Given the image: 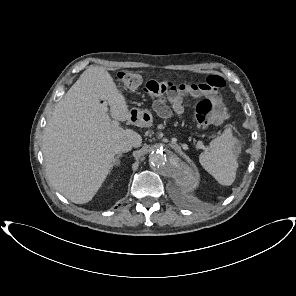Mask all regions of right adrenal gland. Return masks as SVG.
I'll list each match as a JSON object with an SVG mask.
<instances>
[{
	"mask_svg": "<svg viewBox=\"0 0 296 296\" xmlns=\"http://www.w3.org/2000/svg\"><path fill=\"white\" fill-rule=\"evenodd\" d=\"M122 153L117 154V156L114 158V161L111 165V170L113 169L114 166H119L120 165V157H122Z\"/></svg>",
	"mask_w": 296,
	"mask_h": 296,
	"instance_id": "obj_1",
	"label": "right adrenal gland"
}]
</instances>
